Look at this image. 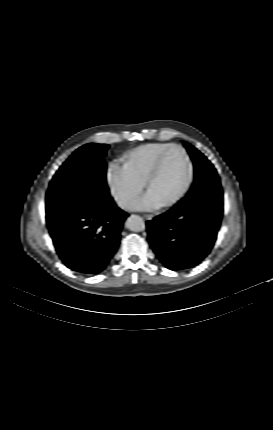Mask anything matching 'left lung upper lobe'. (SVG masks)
<instances>
[{
	"label": "left lung upper lobe",
	"mask_w": 273,
	"mask_h": 430,
	"mask_svg": "<svg viewBox=\"0 0 273 430\" xmlns=\"http://www.w3.org/2000/svg\"><path fill=\"white\" fill-rule=\"evenodd\" d=\"M183 144L187 148L195 167V181L190 190L201 187L206 181L220 182L216 169L210 161L189 143L183 142Z\"/></svg>",
	"instance_id": "1"
}]
</instances>
